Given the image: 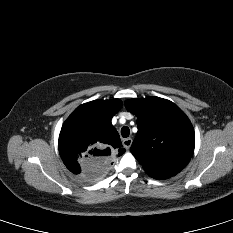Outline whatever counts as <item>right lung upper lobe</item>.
<instances>
[{
    "instance_id": "right-lung-upper-lobe-1",
    "label": "right lung upper lobe",
    "mask_w": 233,
    "mask_h": 233,
    "mask_svg": "<svg viewBox=\"0 0 233 233\" xmlns=\"http://www.w3.org/2000/svg\"><path fill=\"white\" fill-rule=\"evenodd\" d=\"M121 106L119 99L94 100L80 105L65 121L59 152L72 173L98 179L115 167L125 149L111 119Z\"/></svg>"
}]
</instances>
